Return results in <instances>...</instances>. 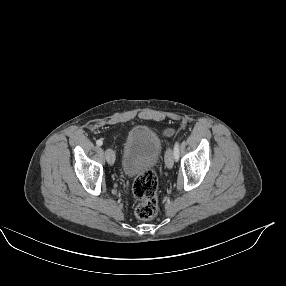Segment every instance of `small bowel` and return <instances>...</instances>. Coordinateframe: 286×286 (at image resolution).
I'll return each mask as SVG.
<instances>
[{"instance_id":"1","label":"small bowel","mask_w":286,"mask_h":286,"mask_svg":"<svg viewBox=\"0 0 286 286\" xmlns=\"http://www.w3.org/2000/svg\"><path fill=\"white\" fill-rule=\"evenodd\" d=\"M164 135L166 137H172L175 135V130L174 129H167L165 132H164Z\"/></svg>"}]
</instances>
